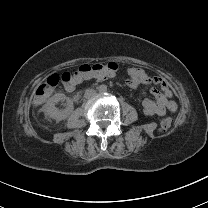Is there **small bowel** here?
<instances>
[{
	"instance_id": "1",
	"label": "small bowel",
	"mask_w": 208,
	"mask_h": 208,
	"mask_svg": "<svg viewBox=\"0 0 208 208\" xmlns=\"http://www.w3.org/2000/svg\"><path fill=\"white\" fill-rule=\"evenodd\" d=\"M128 78L126 85L130 88H135L140 84H155L160 87V90L153 89L151 94L154 99L145 98L142 101V107L147 116H164L167 112H174L177 108L173 100V94L165 79L158 75L150 76L140 68H128L126 70ZM95 82H106V75H95ZM76 85L65 86L67 91L74 90Z\"/></svg>"
}]
</instances>
